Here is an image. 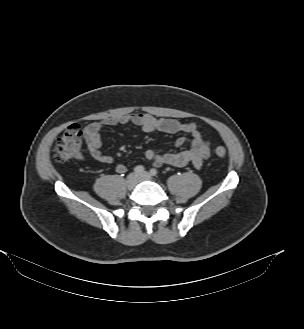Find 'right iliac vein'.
<instances>
[{"label": "right iliac vein", "mask_w": 304, "mask_h": 329, "mask_svg": "<svg viewBox=\"0 0 304 329\" xmlns=\"http://www.w3.org/2000/svg\"><path fill=\"white\" fill-rule=\"evenodd\" d=\"M125 183L128 189H133L138 183L137 175L135 173H131L130 175L127 176Z\"/></svg>", "instance_id": "1"}]
</instances>
